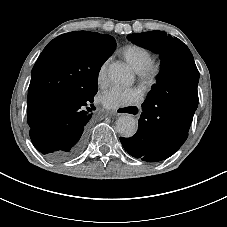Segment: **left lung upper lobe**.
<instances>
[{
    "mask_svg": "<svg viewBox=\"0 0 227 227\" xmlns=\"http://www.w3.org/2000/svg\"><path fill=\"white\" fill-rule=\"evenodd\" d=\"M128 39L160 55L161 73L158 76L157 84L153 86L147 98L158 90V85L161 86L162 82L167 81V77L180 70L184 63L195 64L188 47L181 40L167 35L164 31L130 34Z\"/></svg>",
    "mask_w": 227,
    "mask_h": 227,
    "instance_id": "obj_1",
    "label": "left lung upper lobe"
}]
</instances>
